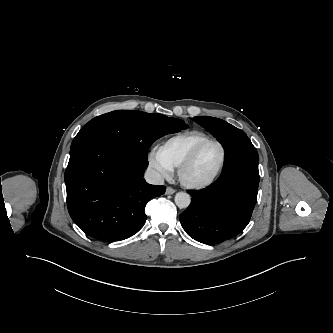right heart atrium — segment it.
Here are the masks:
<instances>
[{
  "label": "right heart atrium",
  "mask_w": 333,
  "mask_h": 333,
  "mask_svg": "<svg viewBox=\"0 0 333 333\" xmlns=\"http://www.w3.org/2000/svg\"><path fill=\"white\" fill-rule=\"evenodd\" d=\"M148 166L159 178L166 179L173 174V166L162 156L159 148H152L148 153Z\"/></svg>",
  "instance_id": "d8ad5b80"
}]
</instances>
